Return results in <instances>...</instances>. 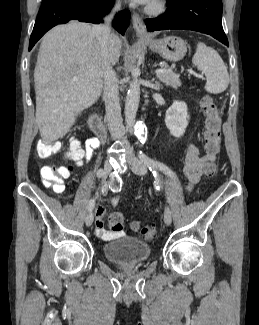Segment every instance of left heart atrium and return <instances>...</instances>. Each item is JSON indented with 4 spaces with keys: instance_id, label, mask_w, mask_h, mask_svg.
<instances>
[{
    "instance_id": "obj_1",
    "label": "left heart atrium",
    "mask_w": 259,
    "mask_h": 325,
    "mask_svg": "<svg viewBox=\"0 0 259 325\" xmlns=\"http://www.w3.org/2000/svg\"><path fill=\"white\" fill-rule=\"evenodd\" d=\"M135 1H137L139 3H148L150 0H135Z\"/></svg>"
}]
</instances>
